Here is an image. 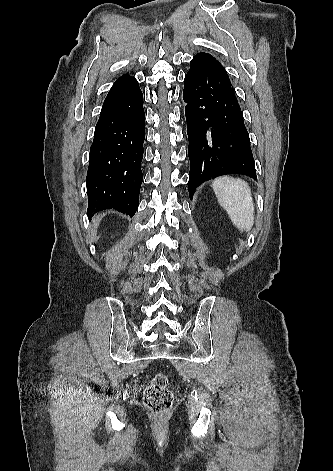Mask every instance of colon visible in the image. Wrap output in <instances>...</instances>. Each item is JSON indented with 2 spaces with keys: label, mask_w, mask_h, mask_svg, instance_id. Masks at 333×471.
<instances>
[{
  "label": "colon",
  "mask_w": 333,
  "mask_h": 471,
  "mask_svg": "<svg viewBox=\"0 0 333 471\" xmlns=\"http://www.w3.org/2000/svg\"><path fill=\"white\" fill-rule=\"evenodd\" d=\"M143 401L150 411L158 415H165L170 411L173 405V394L164 373H158L153 377L144 390Z\"/></svg>",
  "instance_id": "obj_1"
}]
</instances>
